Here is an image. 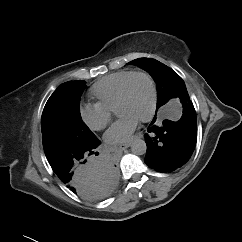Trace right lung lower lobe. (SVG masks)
Instances as JSON below:
<instances>
[{"mask_svg": "<svg viewBox=\"0 0 242 242\" xmlns=\"http://www.w3.org/2000/svg\"><path fill=\"white\" fill-rule=\"evenodd\" d=\"M99 145L97 139L89 148L73 150L48 161L59 179L72 192L93 201L110 195L118 180L116 165L110 159H89Z\"/></svg>", "mask_w": 242, "mask_h": 242, "instance_id": "right-lung-lower-lobe-1", "label": "right lung lower lobe"}]
</instances>
